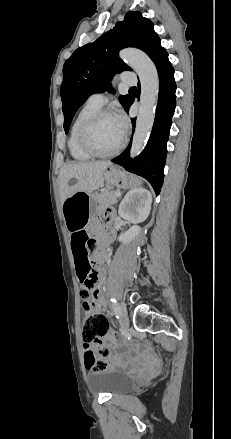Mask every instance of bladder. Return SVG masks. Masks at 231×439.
Returning a JSON list of instances; mask_svg holds the SVG:
<instances>
[{
  "label": "bladder",
  "mask_w": 231,
  "mask_h": 439,
  "mask_svg": "<svg viewBox=\"0 0 231 439\" xmlns=\"http://www.w3.org/2000/svg\"><path fill=\"white\" fill-rule=\"evenodd\" d=\"M87 382L92 392L110 395L129 392L138 384L132 375L114 369L90 372L87 375Z\"/></svg>",
  "instance_id": "bladder-1"
}]
</instances>
